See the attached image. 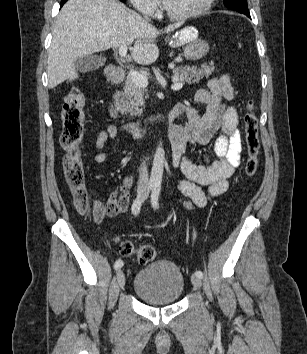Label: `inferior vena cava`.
I'll return each instance as SVG.
<instances>
[{"instance_id": "602c4592", "label": "inferior vena cava", "mask_w": 307, "mask_h": 354, "mask_svg": "<svg viewBox=\"0 0 307 354\" xmlns=\"http://www.w3.org/2000/svg\"><path fill=\"white\" fill-rule=\"evenodd\" d=\"M144 17L147 21H151L148 17V14H144ZM148 186V170L146 162L143 161L139 168V178L137 183L138 192H145Z\"/></svg>"}]
</instances>
